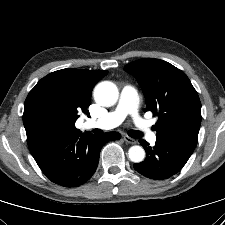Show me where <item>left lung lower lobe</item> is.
<instances>
[{
  "instance_id": "obj_1",
  "label": "left lung lower lobe",
  "mask_w": 225,
  "mask_h": 225,
  "mask_svg": "<svg viewBox=\"0 0 225 225\" xmlns=\"http://www.w3.org/2000/svg\"><path fill=\"white\" fill-rule=\"evenodd\" d=\"M139 143L146 151V159L141 163H135L134 169L156 180H164L178 173L193 153L167 141L157 140L153 148L143 139H140Z\"/></svg>"
}]
</instances>
